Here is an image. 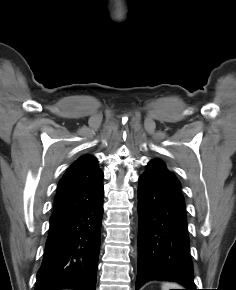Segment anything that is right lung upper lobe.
Listing matches in <instances>:
<instances>
[{
    "mask_svg": "<svg viewBox=\"0 0 236 290\" xmlns=\"http://www.w3.org/2000/svg\"><path fill=\"white\" fill-rule=\"evenodd\" d=\"M96 157L85 155L75 161L58 184L50 221L89 205L103 193V172Z\"/></svg>",
    "mask_w": 236,
    "mask_h": 290,
    "instance_id": "1",
    "label": "right lung upper lobe"
}]
</instances>
